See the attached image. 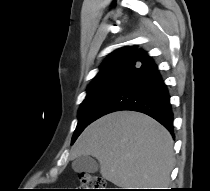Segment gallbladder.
I'll return each mask as SVG.
<instances>
[{
  "label": "gallbladder",
  "instance_id": "1",
  "mask_svg": "<svg viewBox=\"0 0 210 191\" xmlns=\"http://www.w3.org/2000/svg\"><path fill=\"white\" fill-rule=\"evenodd\" d=\"M72 168L75 172L96 173L99 164L90 156H80L72 162Z\"/></svg>",
  "mask_w": 210,
  "mask_h": 191
}]
</instances>
